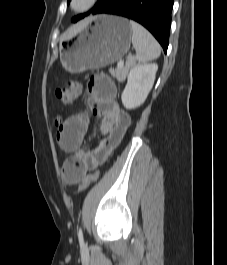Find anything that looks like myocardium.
Segmentation results:
<instances>
[{
    "mask_svg": "<svg viewBox=\"0 0 227 265\" xmlns=\"http://www.w3.org/2000/svg\"><path fill=\"white\" fill-rule=\"evenodd\" d=\"M98 1L99 0H86V3L83 6L77 7L76 6L77 0H70L69 6L70 9L75 13H85L90 9H92L98 3Z\"/></svg>",
    "mask_w": 227,
    "mask_h": 265,
    "instance_id": "myocardium-1",
    "label": "myocardium"
}]
</instances>
